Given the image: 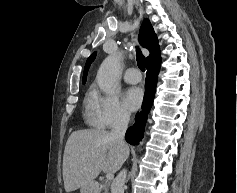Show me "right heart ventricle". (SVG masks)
I'll return each instance as SVG.
<instances>
[{"mask_svg": "<svg viewBox=\"0 0 237 193\" xmlns=\"http://www.w3.org/2000/svg\"><path fill=\"white\" fill-rule=\"evenodd\" d=\"M89 102H90V96H88L87 99H86V104H87V106H89ZM87 117H88V120L91 122V117H90L89 112H88Z\"/></svg>", "mask_w": 237, "mask_h": 193, "instance_id": "obj_1", "label": "right heart ventricle"}]
</instances>
